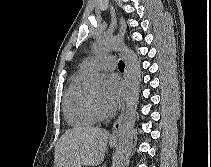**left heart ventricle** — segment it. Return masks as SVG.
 Returning a JSON list of instances; mask_svg holds the SVG:
<instances>
[{
    "mask_svg": "<svg viewBox=\"0 0 211 167\" xmlns=\"http://www.w3.org/2000/svg\"><path fill=\"white\" fill-rule=\"evenodd\" d=\"M103 94H104L103 93V90H101V89L100 90H95V91L91 92V95H92V97H93L96 105L98 106V108L101 111L105 112L104 111V108H103V105H102Z\"/></svg>",
    "mask_w": 211,
    "mask_h": 167,
    "instance_id": "left-heart-ventricle-1",
    "label": "left heart ventricle"
}]
</instances>
